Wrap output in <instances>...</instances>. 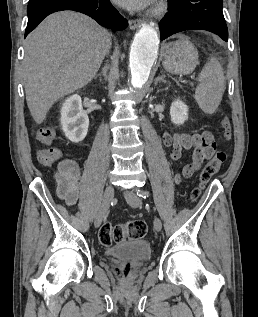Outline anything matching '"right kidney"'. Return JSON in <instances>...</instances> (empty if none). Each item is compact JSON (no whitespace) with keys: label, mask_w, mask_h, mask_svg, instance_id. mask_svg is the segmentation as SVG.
Listing matches in <instances>:
<instances>
[{"label":"right kidney","mask_w":258,"mask_h":317,"mask_svg":"<svg viewBox=\"0 0 258 317\" xmlns=\"http://www.w3.org/2000/svg\"><path fill=\"white\" fill-rule=\"evenodd\" d=\"M62 130L72 142H80L87 134L89 126L88 114L84 112L81 96L72 94L66 98L61 108Z\"/></svg>","instance_id":"right-kidney-1"}]
</instances>
